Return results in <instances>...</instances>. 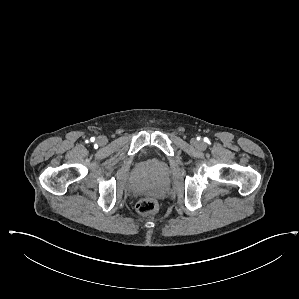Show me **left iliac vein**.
I'll list each match as a JSON object with an SVG mask.
<instances>
[{"mask_svg":"<svg viewBox=\"0 0 299 299\" xmlns=\"http://www.w3.org/2000/svg\"><path fill=\"white\" fill-rule=\"evenodd\" d=\"M192 144L199 148V149H204L205 148V143L204 142H201V141H196V140H193L192 141Z\"/></svg>","mask_w":299,"mask_h":299,"instance_id":"4c4485c4","label":"left iliac vein"}]
</instances>
